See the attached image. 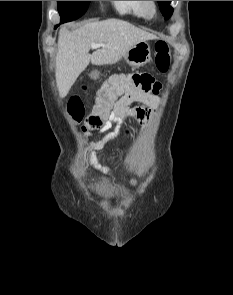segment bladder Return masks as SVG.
I'll return each mask as SVG.
<instances>
[{
    "label": "bladder",
    "instance_id": "bladder-1",
    "mask_svg": "<svg viewBox=\"0 0 233 295\" xmlns=\"http://www.w3.org/2000/svg\"><path fill=\"white\" fill-rule=\"evenodd\" d=\"M88 190L92 194L106 199L118 200L129 197V192L125 188L102 177L93 179L88 185Z\"/></svg>",
    "mask_w": 233,
    "mask_h": 295
}]
</instances>
